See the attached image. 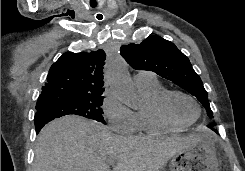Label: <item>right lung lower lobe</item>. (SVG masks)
I'll use <instances>...</instances> for the list:
<instances>
[{"instance_id": "right-lung-lower-lobe-1", "label": "right lung lower lobe", "mask_w": 245, "mask_h": 171, "mask_svg": "<svg viewBox=\"0 0 245 171\" xmlns=\"http://www.w3.org/2000/svg\"><path fill=\"white\" fill-rule=\"evenodd\" d=\"M54 117L44 113V112H36L35 114V128H36V133H39L41 128L48 122L52 121Z\"/></svg>"}]
</instances>
